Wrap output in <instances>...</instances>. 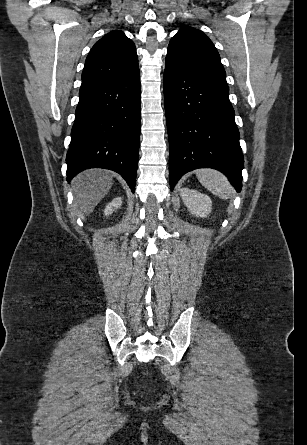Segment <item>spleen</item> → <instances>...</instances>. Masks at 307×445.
Listing matches in <instances>:
<instances>
[{
  "instance_id": "obj_1",
  "label": "spleen",
  "mask_w": 307,
  "mask_h": 445,
  "mask_svg": "<svg viewBox=\"0 0 307 445\" xmlns=\"http://www.w3.org/2000/svg\"><path fill=\"white\" fill-rule=\"evenodd\" d=\"M195 174L199 182L205 188H209L213 194L220 196V198H229L232 186L225 174H222L219 170H213V168H198V170H195Z\"/></svg>"
}]
</instances>
